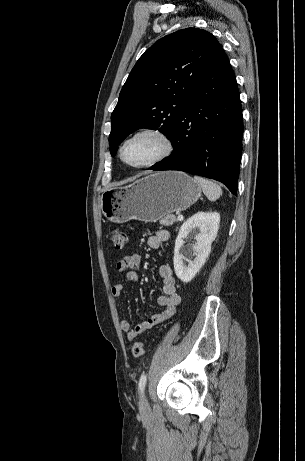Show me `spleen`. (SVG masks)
Listing matches in <instances>:
<instances>
[{
    "label": "spleen",
    "mask_w": 305,
    "mask_h": 461,
    "mask_svg": "<svg viewBox=\"0 0 305 461\" xmlns=\"http://www.w3.org/2000/svg\"><path fill=\"white\" fill-rule=\"evenodd\" d=\"M194 181L199 184L210 201H215L222 195V189L216 183L199 176H194Z\"/></svg>",
    "instance_id": "spleen-1"
}]
</instances>
